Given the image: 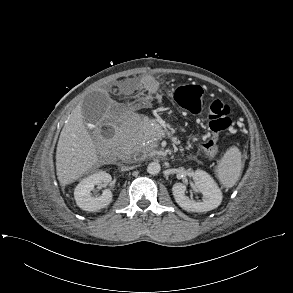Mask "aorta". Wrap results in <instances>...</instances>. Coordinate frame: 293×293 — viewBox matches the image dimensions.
<instances>
[{
    "label": "aorta",
    "instance_id": "762f6f07",
    "mask_svg": "<svg viewBox=\"0 0 293 293\" xmlns=\"http://www.w3.org/2000/svg\"><path fill=\"white\" fill-rule=\"evenodd\" d=\"M161 170V166L158 162H151L147 166V172L151 175H157Z\"/></svg>",
    "mask_w": 293,
    "mask_h": 293
}]
</instances>
